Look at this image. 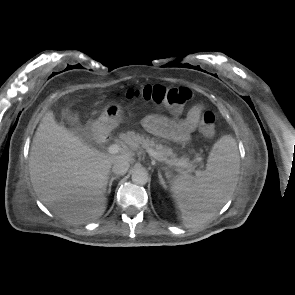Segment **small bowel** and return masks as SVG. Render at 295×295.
Returning a JSON list of instances; mask_svg holds the SVG:
<instances>
[{
    "label": "small bowel",
    "mask_w": 295,
    "mask_h": 295,
    "mask_svg": "<svg viewBox=\"0 0 295 295\" xmlns=\"http://www.w3.org/2000/svg\"><path fill=\"white\" fill-rule=\"evenodd\" d=\"M203 112L201 105L193 106L182 119H172L161 115H149L143 120L145 128L165 139L185 143L196 129Z\"/></svg>",
    "instance_id": "obj_1"
}]
</instances>
